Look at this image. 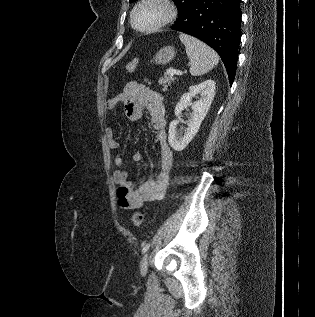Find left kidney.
<instances>
[{"mask_svg":"<svg viewBox=\"0 0 315 317\" xmlns=\"http://www.w3.org/2000/svg\"><path fill=\"white\" fill-rule=\"evenodd\" d=\"M215 85V81L211 79L206 80L198 85L190 86L189 91L182 95L175 107V115L176 117H179V114L182 110L188 106H191L192 118L188 121V128L186 129L183 136H180L176 131L178 121L174 120L170 123L168 142L174 150L182 151L198 132V129L204 120L215 96ZM198 94L201 96L200 99L192 103V98Z\"/></svg>","mask_w":315,"mask_h":317,"instance_id":"obj_1","label":"left kidney"}]
</instances>
